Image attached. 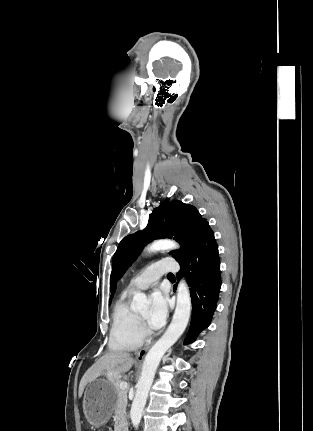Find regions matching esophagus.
I'll return each instance as SVG.
<instances>
[{
    "label": "esophagus",
    "mask_w": 313,
    "mask_h": 431,
    "mask_svg": "<svg viewBox=\"0 0 313 431\" xmlns=\"http://www.w3.org/2000/svg\"><path fill=\"white\" fill-rule=\"evenodd\" d=\"M151 344L146 345L144 348H142L136 355L137 360H142L144 356L146 355L148 349L150 348Z\"/></svg>",
    "instance_id": "obj_1"
}]
</instances>
